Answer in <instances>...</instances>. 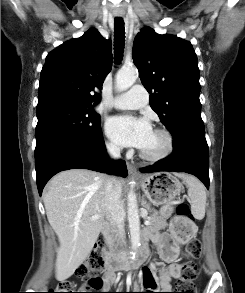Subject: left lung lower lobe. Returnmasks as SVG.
Masks as SVG:
<instances>
[{"label": "left lung lower lobe", "mask_w": 245, "mask_h": 293, "mask_svg": "<svg viewBox=\"0 0 245 293\" xmlns=\"http://www.w3.org/2000/svg\"><path fill=\"white\" fill-rule=\"evenodd\" d=\"M173 153L145 168L142 173L159 171L186 172L195 175L209 188V154L205 133L185 131L175 134Z\"/></svg>", "instance_id": "left-lung-lower-lobe-1"}]
</instances>
